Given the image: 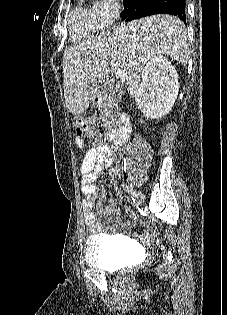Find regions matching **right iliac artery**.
Segmentation results:
<instances>
[{
	"label": "right iliac artery",
	"instance_id": "right-iliac-artery-1",
	"mask_svg": "<svg viewBox=\"0 0 227 315\" xmlns=\"http://www.w3.org/2000/svg\"><path fill=\"white\" fill-rule=\"evenodd\" d=\"M121 186L131 196V198L133 200H134V198H136V196H137L136 191L133 189V187L131 185L122 184Z\"/></svg>",
	"mask_w": 227,
	"mask_h": 315
}]
</instances>
